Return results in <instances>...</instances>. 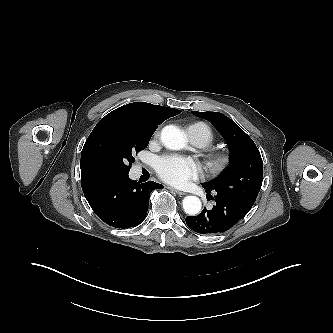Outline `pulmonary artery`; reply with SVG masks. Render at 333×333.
Returning a JSON list of instances; mask_svg holds the SVG:
<instances>
[{"label":"pulmonary artery","mask_w":333,"mask_h":333,"mask_svg":"<svg viewBox=\"0 0 333 333\" xmlns=\"http://www.w3.org/2000/svg\"><path fill=\"white\" fill-rule=\"evenodd\" d=\"M187 132L192 144H194L197 147L204 146L202 139L195 133L193 128H188Z\"/></svg>","instance_id":"pulmonary-artery-1"}]
</instances>
